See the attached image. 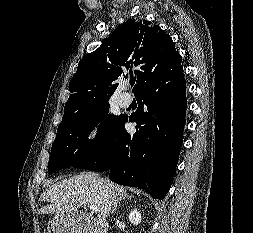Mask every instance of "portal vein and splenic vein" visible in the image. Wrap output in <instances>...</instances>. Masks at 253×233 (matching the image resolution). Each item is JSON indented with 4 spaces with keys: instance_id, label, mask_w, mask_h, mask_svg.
Masks as SVG:
<instances>
[{
    "instance_id": "portal-vein-and-splenic-vein-1",
    "label": "portal vein and splenic vein",
    "mask_w": 253,
    "mask_h": 233,
    "mask_svg": "<svg viewBox=\"0 0 253 233\" xmlns=\"http://www.w3.org/2000/svg\"><path fill=\"white\" fill-rule=\"evenodd\" d=\"M90 210H91V212H98V208H97V206H95V205H90Z\"/></svg>"
}]
</instances>
